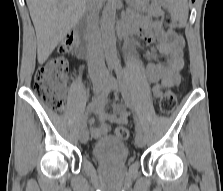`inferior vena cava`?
<instances>
[{
  "instance_id": "602c4592",
  "label": "inferior vena cava",
  "mask_w": 223,
  "mask_h": 191,
  "mask_svg": "<svg viewBox=\"0 0 223 191\" xmlns=\"http://www.w3.org/2000/svg\"><path fill=\"white\" fill-rule=\"evenodd\" d=\"M100 6V0H87L88 18L93 27V31L89 38V47L92 52L91 61L89 64L91 74L94 73L95 67L100 72H102L105 67L103 47L98 28V13Z\"/></svg>"
}]
</instances>
